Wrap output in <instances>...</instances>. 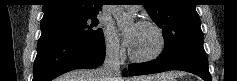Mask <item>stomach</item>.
<instances>
[{"label":"stomach","instance_id":"stomach-1","mask_svg":"<svg viewBox=\"0 0 237 81\" xmlns=\"http://www.w3.org/2000/svg\"><path fill=\"white\" fill-rule=\"evenodd\" d=\"M152 81H167V80H165L163 78H157V79H153Z\"/></svg>","mask_w":237,"mask_h":81}]
</instances>
